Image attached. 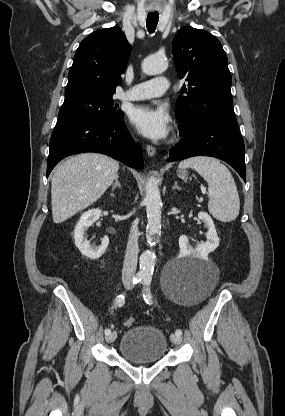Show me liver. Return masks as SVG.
Instances as JSON below:
<instances>
[{
    "mask_svg": "<svg viewBox=\"0 0 285 416\" xmlns=\"http://www.w3.org/2000/svg\"><path fill=\"white\" fill-rule=\"evenodd\" d=\"M118 170V162L102 154H80L58 166L51 182L54 224L97 202L113 184Z\"/></svg>",
    "mask_w": 285,
    "mask_h": 416,
    "instance_id": "1",
    "label": "liver"
}]
</instances>
